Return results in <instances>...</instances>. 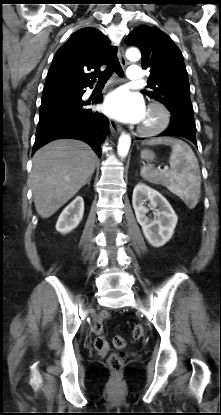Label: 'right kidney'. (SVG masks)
Segmentation results:
<instances>
[{
    "mask_svg": "<svg viewBox=\"0 0 221 415\" xmlns=\"http://www.w3.org/2000/svg\"><path fill=\"white\" fill-rule=\"evenodd\" d=\"M84 213L83 198L76 197L60 214L56 223V230L66 234L75 229L82 220Z\"/></svg>",
    "mask_w": 221,
    "mask_h": 415,
    "instance_id": "right-kidney-1",
    "label": "right kidney"
}]
</instances>
